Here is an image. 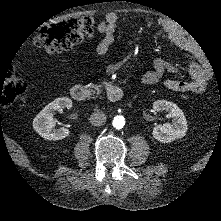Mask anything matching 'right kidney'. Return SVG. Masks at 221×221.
I'll use <instances>...</instances> for the list:
<instances>
[{
  "label": "right kidney",
  "instance_id": "1",
  "mask_svg": "<svg viewBox=\"0 0 221 221\" xmlns=\"http://www.w3.org/2000/svg\"><path fill=\"white\" fill-rule=\"evenodd\" d=\"M63 108L71 109L72 100L68 97H59L46 105L33 119V129L46 140H62L70 131L65 127L55 129L54 113Z\"/></svg>",
  "mask_w": 221,
  "mask_h": 221
}]
</instances>
